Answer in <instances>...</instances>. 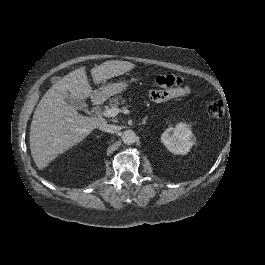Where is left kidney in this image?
<instances>
[{
	"label": "left kidney",
	"instance_id": "1",
	"mask_svg": "<svg viewBox=\"0 0 265 265\" xmlns=\"http://www.w3.org/2000/svg\"><path fill=\"white\" fill-rule=\"evenodd\" d=\"M161 142L174 154H187L196 143V137L191 131V126L178 123L175 128H167L161 135Z\"/></svg>",
	"mask_w": 265,
	"mask_h": 265
}]
</instances>
